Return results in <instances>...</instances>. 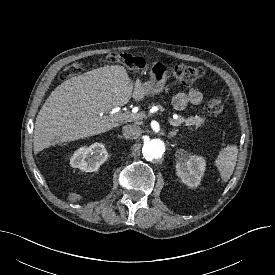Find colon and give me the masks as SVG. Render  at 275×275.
<instances>
[{"instance_id": "1", "label": "colon", "mask_w": 275, "mask_h": 275, "mask_svg": "<svg viewBox=\"0 0 275 275\" xmlns=\"http://www.w3.org/2000/svg\"><path fill=\"white\" fill-rule=\"evenodd\" d=\"M105 60L110 63H121L129 68L143 66L141 60L131 54L127 53H109ZM81 71L79 63H72L61 74L63 79L78 75ZM203 69L201 67L179 64L171 68L173 78L184 85L191 84L203 76ZM205 108L208 113L216 117H223L225 108L222 100L218 97H211L205 103Z\"/></svg>"}]
</instances>
